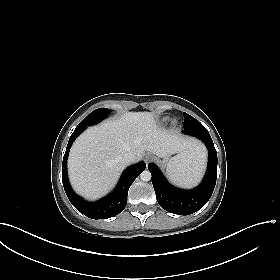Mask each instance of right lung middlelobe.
Instances as JSON below:
<instances>
[{
	"label": "right lung middle lobe",
	"mask_w": 280,
	"mask_h": 280,
	"mask_svg": "<svg viewBox=\"0 0 280 280\" xmlns=\"http://www.w3.org/2000/svg\"><path fill=\"white\" fill-rule=\"evenodd\" d=\"M108 112L109 110L107 108L94 110L76 127V129H85L87 126L102 121L107 116Z\"/></svg>",
	"instance_id": "right-lung-middle-lobe-1"
}]
</instances>
